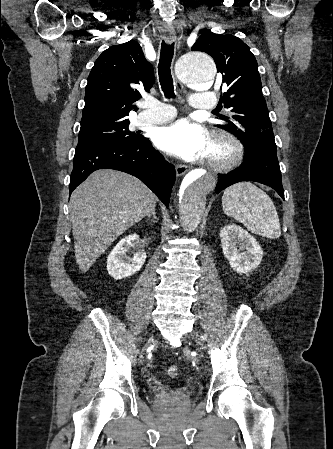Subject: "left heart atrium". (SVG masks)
I'll list each match as a JSON object with an SVG mask.
<instances>
[{"label": "left heart atrium", "instance_id": "obj_1", "mask_svg": "<svg viewBox=\"0 0 333 449\" xmlns=\"http://www.w3.org/2000/svg\"><path fill=\"white\" fill-rule=\"evenodd\" d=\"M154 141L161 150L186 161L206 157L211 150L208 132L186 119L157 129Z\"/></svg>", "mask_w": 333, "mask_h": 449}]
</instances>
